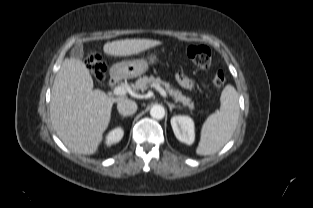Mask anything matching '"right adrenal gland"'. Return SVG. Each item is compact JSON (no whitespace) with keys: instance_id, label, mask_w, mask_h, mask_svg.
Masks as SVG:
<instances>
[{"instance_id":"obj_1","label":"right adrenal gland","mask_w":313,"mask_h":208,"mask_svg":"<svg viewBox=\"0 0 313 208\" xmlns=\"http://www.w3.org/2000/svg\"><path fill=\"white\" fill-rule=\"evenodd\" d=\"M121 117H122V118H125L126 116H125V115H121Z\"/></svg>"}]
</instances>
